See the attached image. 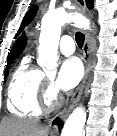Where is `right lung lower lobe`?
Here are the masks:
<instances>
[{"label": "right lung lower lobe", "mask_w": 117, "mask_h": 136, "mask_svg": "<svg viewBox=\"0 0 117 136\" xmlns=\"http://www.w3.org/2000/svg\"><path fill=\"white\" fill-rule=\"evenodd\" d=\"M56 122H57V120L54 121V123H56ZM61 127H62V125H60V128H61Z\"/></svg>", "instance_id": "98d812e1"}]
</instances>
